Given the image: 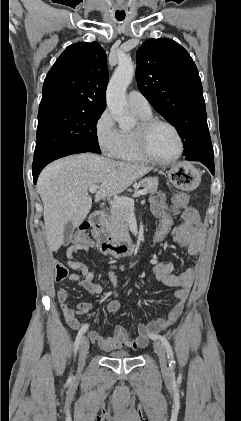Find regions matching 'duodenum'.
Listing matches in <instances>:
<instances>
[{
  "instance_id": "1",
  "label": "duodenum",
  "mask_w": 241,
  "mask_h": 421,
  "mask_svg": "<svg viewBox=\"0 0 241 421\" xmlns=\"http://www.w3.org/2000/svg\"><path fill=\"white\" fill-rule=\"evenodd\" d=\"M105 212L98 210L91 214L90 223L93 227V236L99 251L106 255L122 257L132 252L133 246L129 239L111 236L104 226Z\"/></svg>"
}]
</instances>
